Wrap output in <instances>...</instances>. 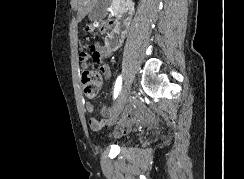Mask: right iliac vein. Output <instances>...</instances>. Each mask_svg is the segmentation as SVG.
Instances as JSON below:
<instances>
[{"mask_svg": "<svg viewBox=\"0 0 244 179\" xmlns=\"http://www.w3.org/2000/svg\"><path fill=\"white\" fill-rule=\"evenodd\" d=\"M128 95V86L125 84L122 90H120L119 96L113 106V110L110 116V122L117 120L119 114L121 113V110L123 109L126 98Z\"/></svg>", "mask_w": 244, "mask_h": 179, "instance_id": "1", "label": "right iliac vein"}]
</instances>
